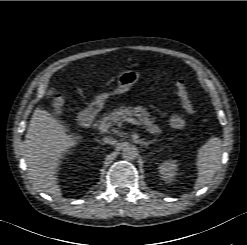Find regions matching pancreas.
<instances>
[{
  "label": "pancreas",
  "mask_w": 247,
  "mask_h": 245,
  "mask_svg": "<svg viewBox=\"0 0 247 245\" xmlns=\"http://www.w3.org/2000/svg\"><path fill=\"white\" fill-rule=\"evenodd\" d=\"M131 116H136L149 133L156 135L162 133L158 125L154 124V118H150L148 112L141 107L121 106L118 109H114L108 115H104L99 122L108 124L121 123L125 121L127 117Z\"/></svg>",
  "instance_id": "obj_1"
}]
</instances>
